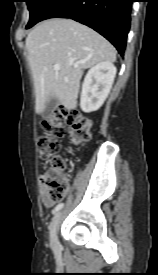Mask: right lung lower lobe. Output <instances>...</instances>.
<instances>
[{"label":"right lung lower lobe","mask_w":158,"mask_h":275,"mask_svg":"<svg viewBox=\"0 0 158 275\" xmlns=\"http://www.w3.org/2000/svg\"><path fill=\"white\" fill-rule=\"evenodd\" d=\"M133 0H56L42 16L71 18L99 32L123 55Z\"/></svg>","instance_id":"98d812e1"}]
</instances>
